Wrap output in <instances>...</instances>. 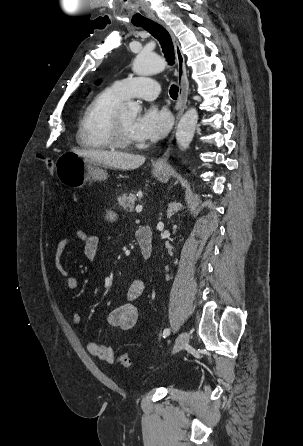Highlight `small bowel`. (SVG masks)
Listing matches in <instances>:
<instances>
[{
	"label": "small bowel",
	"mask_w": 303,
	"mask_h": 446,
	"mask_svg": "<svg viewBox=\"0 0 303 446\" xmlns=\"http://www.w3.org/2000/svg\"><path fill=\"white\" fill-rule=\"evenodd\" d=\"M113 215L110 214L109 218L113 219ZM71 243L83 244L84 254L89 260H93L96 257L99 238L96 235L88 234L82 229L74 231L71 237H65L61 239L56 245L54 252V265L58 274L64 279L65 288L68 290H75L79 287V280L69 275L68 270L62 264L61 257ZM145 288V283L141 279L134 280L128 289L129 302L113 309L108 316L110 325L117 327L121 330L132 329L138 320V311L134 305V301L142 294ZM72 320L75 324H79L80 315L77 312L72 314ZM86 350L94 357L99 358L107 363H113L115 359L114 350L106 345L97 343L94 341H88L86 343Z\"/></svg>",
	"instance_id": "1"
}]
</instances>
